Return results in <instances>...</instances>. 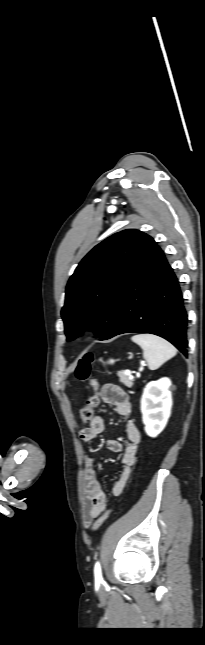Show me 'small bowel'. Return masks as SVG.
<instances>
[{"label": "small bowel", "instance_id": "c3829d8e", "mask_svg": "<svg viewBox=\"0 0 205 645\" xmlns=\"http://www.w3.org/2000/svg\"><path fill=\"white\" fill-rule=\"evenodd\" d=\"M100 399L113 405L116 412L122 417H129L131 413V403L127 394L117 385L105 384L100 392ZM99 403V398H98ZM105 428V423L100 415L93 416L89 427L80 431V438L85 443L94 441ZM127 442L123 446L121 442L115 439L107 441V448L112 452H121L120 471L117 479L111 487V493L114 496L122 494L125 485L130 476L131 467L137 459V451L140 443V432L132 420L126 423ZM96 458L91 454L85 455L84 465V499H83V521L89 526L93 519L99 517L106 509L107 495L103 491L95 471Z\"/></svg>", "mask_w": 205, "mask_h": 645}]
</instances>
